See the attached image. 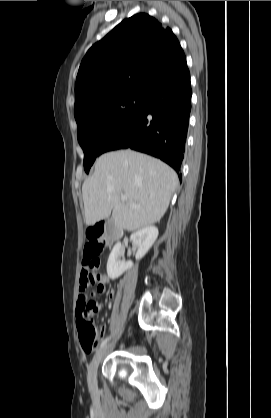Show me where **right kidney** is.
<instances>
[{
  "instance_id": "obj_1",
  "label": "right kidney",
  "mask_w": 271,
  "mask_h": 418,
  "mask_svg": "<svg viewBox=\"0 0 271 418\" xmlns=\"http://www.w3.org/2000/svg\"><path fill=\"white\" fill-rule=\"evenodd\" d=\"M158 229L155 226H147L134 232L130 239L137 247L136 260L141 259L152 247L158 237ZM122 257V259H120ZM133 266L131 261L126 262L122 254V246L117 242L108 258L107 274L110 279L119 278L125 271Z\"/></svg>"
}]
</instances>
